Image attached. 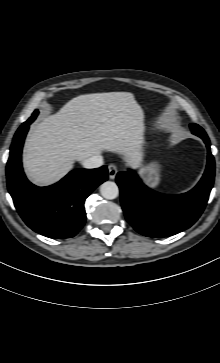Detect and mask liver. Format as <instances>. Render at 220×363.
<instances>
[{"mask_svg":"<svg viewBox=\"0 0 220 363\" xmlns=\"http://www.w3.org/2000/svg\"><path fill=\"white\" fill-rule=\"evenodd\" d=\"M144 113L129 92L77 96L34 125L26 139L23 165L36 185L58 182L75 161L102 151L118 153L128 167L143 158Z\"/></svg>","mask_w":220,"mask_h":363,"instance_id":"obj_1","label":"liver"}]
</instances>
